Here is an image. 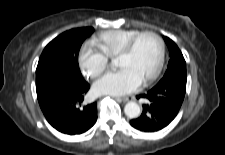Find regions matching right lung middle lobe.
Segmentation results:
<instances>
[{"label":"right lung middle lobe","mask_w":225,"mask_h":155,"mask_svg":"<svg viewBox=\"0 0 225 155\" xmlns=\"http://www.w3.org/2000/svg\"><path fill=\"white\" fill-rule=\"evenodd\" d=\"M92 27L66 31L53 39L43 50L36 69V92L43 93L55 82L65 78L83 79L79 65V49Z\"/></svg>","instance_id":"obj_1"}]
</instances>
